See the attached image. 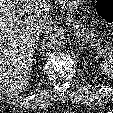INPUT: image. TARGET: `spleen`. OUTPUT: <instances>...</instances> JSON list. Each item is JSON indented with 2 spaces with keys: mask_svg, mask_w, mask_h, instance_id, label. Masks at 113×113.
Segmentation results:
<instances>
[{
  "mask_svg": "<svg viewBox=\"0 0 113 113\" xmlns=\"http://www.w3.org/2000/svg\"><path fill=\"white\" fill-rule=\"evenodd\" d=\"M99 68L107 76L113 77V47H112L111 52L108 55V58L100 63Z\"/></svg>",
  "mask_w": 113,
  "mask_h": 113,
  "instance_id": "spleen-1",
  "label": "spleen"
}]
</instances>
